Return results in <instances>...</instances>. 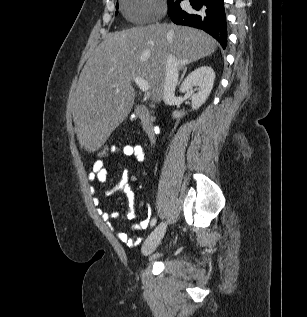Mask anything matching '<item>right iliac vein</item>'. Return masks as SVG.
<instances>
[{"mask_svg":"<svg viewBox=\"0 0 307 317\" xmlns=\"http://www.w3.org/2000/svg\"><path fill=\"white\" fill-rule=\"evenodd\" d=\"M166 231V224L164 222L160 223L148 236L143 244L142 252L144 255H150L155 251L157 246L160 244Z\"/></svg>","mask_w":307,"mask_h":317,"instance_id":"right-iliac-vein-1","label":"right iliac vein"}]
</instances>
